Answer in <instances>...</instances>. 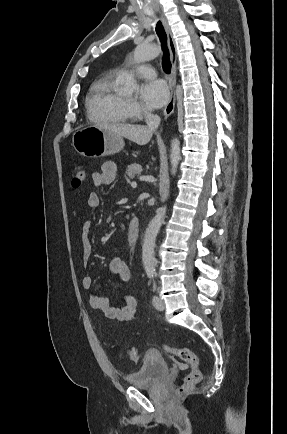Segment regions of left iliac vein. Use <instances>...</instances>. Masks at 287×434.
Masks as SVG:
<instances>
[{"instance_id":"left-iliac-vein-1","label":"left iliac vein","mask_w":287,"mask_h":434,"mask_svg":"<svg viewBox=\"0 0 287 434\" xmlns=\"http://www.w3.org/2000/svg\"><path fill=\"white\" fill-rule=\"evenodd\" d=\"M153 305L154 307L159 310V311H163L165 308V304L162 301V299L158 296H153Z\"/></svg>"}]
</instances>
